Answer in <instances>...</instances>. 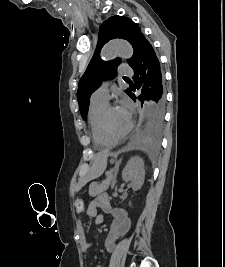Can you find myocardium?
Returning a JSON list of instances; mask_svg holds the SVG:
<instances>
[{
  "mask_svg": "<svg viewBox=\"0 0 225 267\" xmlns=\"http://www.w3.org/2000/svg\"><path fill=\"white\" fill-rule=\"evenodd\" d=\"M113 108H116L115 105H111V104H107L105 106V108L102 111L101 117H100V127L101 130L103 132V134L111 139L113 142L117 143L120 142L121 140L125 139L126 136L130 133L131 129H132V122L129 123L128 128L126 129V131L120 135H114L108 128L107 125V115L109 113L110 110H112Z\"/></svg>",
  "mask_w": 225,
  "mask_h": 267,
  "instance_id": "f54148a6",
  "label": "myocardium"
}]
</instances>
